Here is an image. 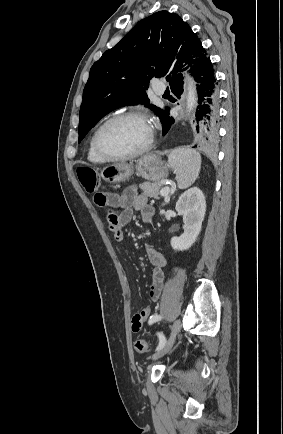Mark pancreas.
Returning <instances> with one entry per match:
<instances>
[{
	"label": "pancreas",
	"mask_w": 283,
	"mask_h": 434,
	"mask_svg": "<svg viewBox=\"0 0 283 434\" xmlns=\"http://www.w3.org/2000/svg\"><path fill=\"white\" fill-rule=\"evenodd\" d=\"M140 189L142 190L143 195L157 199L159 198L162 185L159 182H144L140 185Z\"/></svg>",
	"instance_id": "obj_1"
}]
</instances>
